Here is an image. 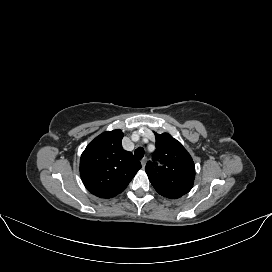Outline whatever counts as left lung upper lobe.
<instances>
[{"label": "left lung upper lobe", "mask_w": 272, "mask_h": 272, "mask_svg": "<svg viewBox=\"0 0 272 272\" xmlns=\"http://www.w3.org/2000/svg\"><path fill=\"white\" fill-rule=\"evenodd\" d=\"M156 158L148 161L145 171L155 190L171 199L187 194L193 186L195 165L182 144L170 134H155ZM155 161H160V166Z\"/></svg>", "instance_id": "obj_1"}]
</instances>
